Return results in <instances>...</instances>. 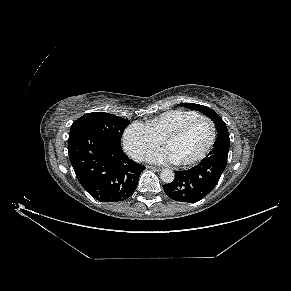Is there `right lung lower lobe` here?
<instances>
[{
    "label": "right lung lower lobe",
    "mask_w": 291,
    "mask_h": 291,
    "mask_svg": "<svg viewBox=\"0 0 291 291\" xmlns=\"http://www.w3.org/2000/svg\"><path fill=\"white\" fill-rule=\"evenodd\" d=\"M68 153L81 185L95 199L117 202L135 191L145 166L130 160L121 145L90 130L69 134Z\"/></svg>",
    "instance_id": "1"
}]
</instances>
